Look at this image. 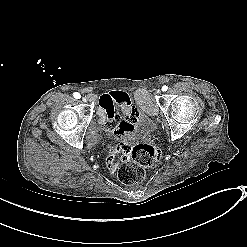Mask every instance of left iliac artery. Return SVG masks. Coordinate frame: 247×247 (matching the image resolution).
<instances>
[{"instance_id":"obj_1","label":"left iliac artery","mask_w":247,"mask_h":247,"mask_svg":"<svg viewBox=\"0 0 247 247\" xmlns=\"http://www.w3.org/2000/svg\"><path fill=\"white\" fill-rule=\"evenodd\" d=\"M168 89H169L168 86H163V87H162V90H163V91H168Z\"/></svg>"}]
</instances>
